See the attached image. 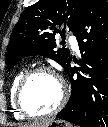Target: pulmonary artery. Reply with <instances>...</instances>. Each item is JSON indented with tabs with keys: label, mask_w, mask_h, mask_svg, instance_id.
I'll use <instances>...</instances> for the list:
<instances>
[{
	"label": "pulmonary artery",
	"mask_w": 108,
	"mask_h": 127,
	"mask_svg": "<svg viewBox=\"0 0 108 127\" xmlns=\"http://www.w3.org/2000/svg\"><path fill=\"white\" fill-rule=\"evenodd\" d=\"M69 43L71 45V48L74 50V51H77L78 50V42H77V39L74 35H70L69 36Z\"/></svg>",
	"instance_id": "1"
}]
</instances>
